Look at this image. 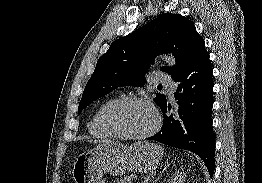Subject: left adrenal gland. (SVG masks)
Returning a JSON list of instances; mask_svg holds the SVG:
<instances>
[{
  "mask_svg": "<svg viewBox=\"0 0 262 183\" xmlns=\"http://www.w3.org/2000/svg\"><path fill=\"white\" fill-rule=\"evenodd\" d=\"M168 166H169V164L164 166V168H163V170L160 172L159 176H158V177L155 179V181H153L152 183H156V182L159 180L160 176H162V173L167 169Z\"/></svg>",
  "mask_w": 262,
  "mask_h": 183,
  "instance_id": "a2214340",
  "label": "left adrenal gland"
}]
</instances>
